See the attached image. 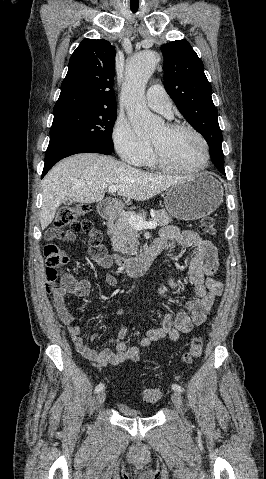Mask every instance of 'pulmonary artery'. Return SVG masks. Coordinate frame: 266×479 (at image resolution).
<instances>
[{"mask_svg":"<svg viewBox=\"0 0 266 479\" xmlns=\"http://www.w3.org/2000/svg\"><path fill=\"white\" fill-rule=\"evenodd\" d=\"M146 103L153 110L160 112L167 117L171 116L172 103L161 85H153L146 93Z\"/></svg>","mask_w":266,"mask_h":479,"instance_id":"obj_1","label":"pulmonary artery"}]
</instances>
